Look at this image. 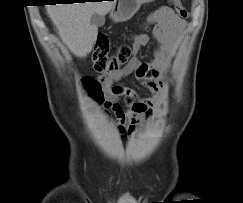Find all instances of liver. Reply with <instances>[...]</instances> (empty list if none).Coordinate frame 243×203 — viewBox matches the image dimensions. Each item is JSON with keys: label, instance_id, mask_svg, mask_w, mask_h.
Listing matches in <instances>:
<instances>
[{"label": "liver", "instance_id": "obj_1", "mask_svg": "<svg viewBox=\"0 0 243 203\" xmlns=\"http://www.w3.org/2000/svg\"><path fill=\"white\" fill-rule=\"evenodd\" d=\"M112 1L48 5L47 13L58 29L63 42L77 57H85L96 42L98 28L91 24L94 13L106 15Z\"/></svg>", "mask_w": 243, "mask_h": 203}]
</instances>
